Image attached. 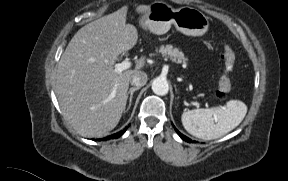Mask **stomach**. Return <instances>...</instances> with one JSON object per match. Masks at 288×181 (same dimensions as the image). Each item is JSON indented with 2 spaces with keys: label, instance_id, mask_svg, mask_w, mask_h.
<instances>
[{
  "label": "stomach",
  "instance_id": "stomach-1",
  "mask_svg": "<svg viewBox=\"0 0 288 181\" xmlns=\"http://www.w3.org/2000/svg\"><path fill=\"white\" fill-rule=\"evenodd\" d=\"M141 25L150 32L162 35L171 26L187 36H202L209 27V20L201 11L192 7L174 9L164 2H154L141 17Z\"/></svg>",
  "mask_w": 288,
  "mask_h": 181
}]
</instances>
